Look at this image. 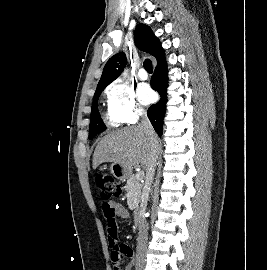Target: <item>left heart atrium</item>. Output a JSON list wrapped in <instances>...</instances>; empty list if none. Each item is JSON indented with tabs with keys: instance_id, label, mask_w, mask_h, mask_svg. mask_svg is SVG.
Instances as JSON below:
<instances>
[{
	"instance_id": "left-heart-atrium-1",
	"label": "left heart atrium",
	"mask_w": 267,
	"mask_h": 270,
	"mask_svg": "<svg viewBox=\"0 0 267 270\" xmlns=\"http://www.w3.org/2000/svg\"><path fill=\"white\" fill-rule=\"evenodd\" d=\"M137 95L141 103L149 104L154 100V93L146 84H141L137 88Z\"/></svg>"
}]
</instances>
